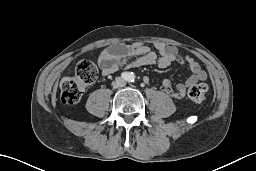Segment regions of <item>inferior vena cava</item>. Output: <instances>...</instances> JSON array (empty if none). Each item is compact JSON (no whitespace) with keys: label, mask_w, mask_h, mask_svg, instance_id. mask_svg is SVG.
<instances>
[{"label":"inferior vena cava","mask_w":256,"mask_h":171,"mask_svg":"<svg viewBox=\"0 0 256 171\" xmlns=\"http://www.w3.org/2000/svg\"><path fill=\"white\" fill-rule=\"evenodd\" d=\"M113 88H122L126 85V81L121 78V77H117L115 79V81L112 82Z\"/></svg>","instance_id":"inferior-vena-cava-1"}]
</instances>
